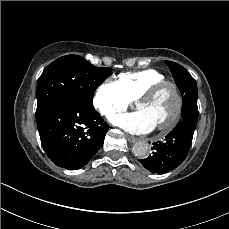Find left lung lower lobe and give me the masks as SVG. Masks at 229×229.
I'll list each match as a JSON object with an SVG mask.
<instances>
[{
    "label": "left lung lower lobe",
    "mask_w": 229,
    "mask_h": 229,
    "mask_svg": "<svg viewBox=\"0 0 229 229\" xmlns=\"http://www.w3.org/2000/svg\"><path fill=\"white\" fill-rule=\"evenodd\" d=\"M197 95L183 97L181 113L185 120L178 122L163 142L153 143V154L141 160L142 165L151 173L171 171L186 158L198 119Z\"/></svg>",
    "instance_id": "0a47b994"
}]
</instances>
